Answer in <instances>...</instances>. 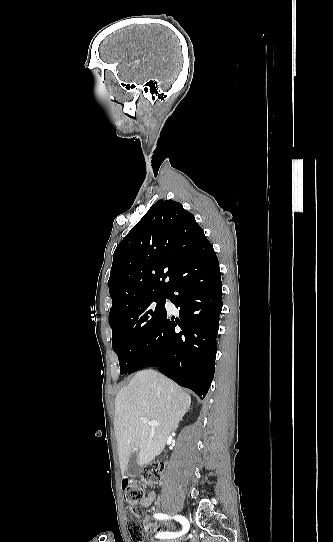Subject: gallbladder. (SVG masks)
<instances>
[{"label": "gallbladder", "mask_w": 333, "mask_h": 542, "mask_svg": "<svg viewBox=\"0 0 333 542\" xmlns=\"http://www.w3.org/2000/svg\"><path fill=\"white\" fill-rule=\"evenodd\" d=\"M138 462V456L137 452H133L129 458L128 466H127V474L128 476H132V478H136L140 472H142V466H139L137 464Z\"/></svg>", "instance_id": "obj_1"}]
</instances>
